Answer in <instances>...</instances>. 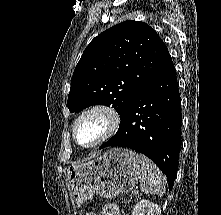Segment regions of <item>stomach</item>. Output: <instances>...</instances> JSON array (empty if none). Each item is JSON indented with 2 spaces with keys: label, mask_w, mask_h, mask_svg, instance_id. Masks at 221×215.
<instances>
[{
  "label": "stomach",
  "mask_w": 221,
  "mask_h": 215,
  "mask_svg": "<svg viewBox=\"0 0 221 215\" xmlns=\"http://www.w3.org/2000/svg\"><path fill=\"white\" fill-rule=\"evenodd\" d=\"M140 176V156L124 148H112L85 163L70 165L66 170L70 195L77 203L92 199L95 194L111 199L129 192Z\"/></svg>",
  "instance_id": "0dacf381"
}]
</instances>
